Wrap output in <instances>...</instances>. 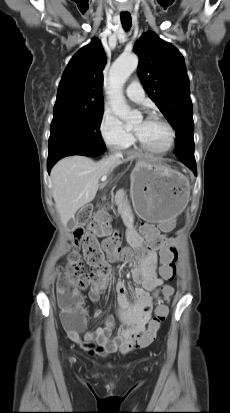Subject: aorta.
Here are the masks:
<instances>
[{"label":"aorta","instance_id":"1","mask_svg":"<svg viewBox=\"0 0 230 413\" xmlns=\"http://www.w3.org/2000/svg\"><path fill=\"white\" fill-rule=\"evenodd\" d=\"M138 66L134 54L120 56L111 66L109 75V98L113 113L127 123H131L134 113L127 105L122 93L123 86Z\"/></svg>","mask_w":230,"mask_h":413}]
</instances>
